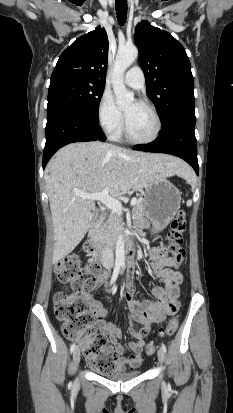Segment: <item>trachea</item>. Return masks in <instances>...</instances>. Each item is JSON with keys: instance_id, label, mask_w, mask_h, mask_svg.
Segmentation results:
<instances>
[{"instance_id": "1", "label": "trachea", "mask_w": 233, "mask_h": 413, "mask_svg": "<svg viewBox=\"0 0 233 413\" xmlns=\"http://www.w3.org/2000/svg\"><path fill=\"white\" fill-rule=\"evenodd\" d=\"M115 9L118 21L123 25L127 18V0H115Z\"/></svg>"}]
</instances>
